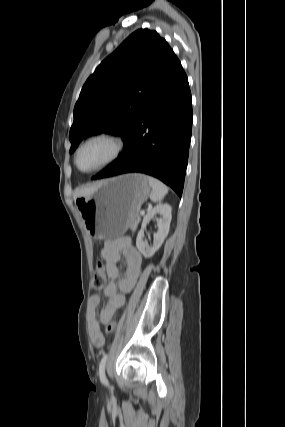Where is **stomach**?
Here are the masks:
<instances>
[{
  "instance_id": "1",
  "label": "stomach",
  "mask_w": 285,
  "mask_h": 427,
  "mask_svg": "<svg viewBox=\"0 0 285 427\" xmlns=\"http://www.w3.org/2000/svg\"><path fill=\"white\" fill-rule=\"evenodd\" d=\"M149 194L145 175L125 174L104 180L91 195L76 198L75 206L91 235L110 239L128 229Z\"/></svg>"
}]
</instances>
